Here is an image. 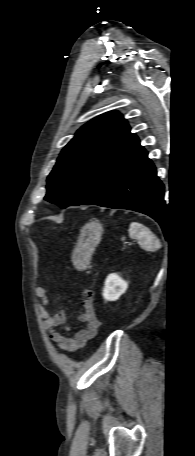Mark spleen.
Returning a JSON list of instances; mask_svg holds the SVG:
<instances>
[{
	"label": "spleen",
	"mask_w": 195,
	"mask_h": 456,
	"mask_svg": "<svg viewBox=\"0 0 195 456\" xmlns=\"http://www.w3.org/2000/svg\"><path fill=\"white\" fill-rule=\"evenodd\" d=\"M129 235L131 238L137 239L141 247L146 250H153L160 246L159 240L144 225L132 222L129 227Z\"/></svg>",
	"instance_id": "1"
}]
</instances>
